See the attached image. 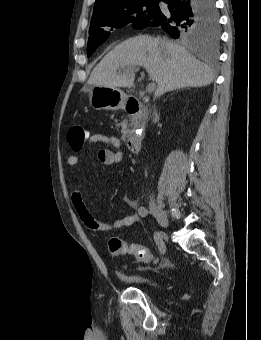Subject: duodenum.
Masks as SVG:
<instances>
[{
  "instance_id": "duodenum-1",
  "label": "duodenum",
  "mask_w": 261,
  "mask_h": 340,
  "mask_svg": "<svg viewBox=\"0 0 261 340\" xmlns=\"http://www.w3.org/2000/svg\"><path fill=\"white\" fill-rule=\"evenodd\" d=\"M126 111L135 117L136 126V132L128 137L126 145L132 153H138L143 141V119L146 115V108L141 101L132 99L127 102Z\"/></svg>"
}]
</instances>
